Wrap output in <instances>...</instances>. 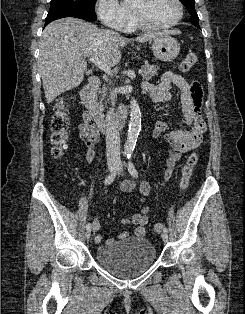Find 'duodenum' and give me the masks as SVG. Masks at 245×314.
Returning a JSON list of instances; mask_svg holds the SVG:
<instances>
[{
    "label": "duodenum",
    "mask_w": 245,
    "mask_h": 314,
    "mask_svg": "<svg viewBox=\"0 0 245 314\" xmlns=\"http://www.w3.org/2000/svg\"><path fill=\"white\" fill-rule=\"evenodd\" d=\"M100 85V79L96 75L89 77L87 84L81 89L80 99L86 108V114L93 121V124L102 132L111 129H121L129 113V105L123 102L112 118H107L95 99V93Z\"/></svg>",
    "instance_id": "1"
}]
</instances>
